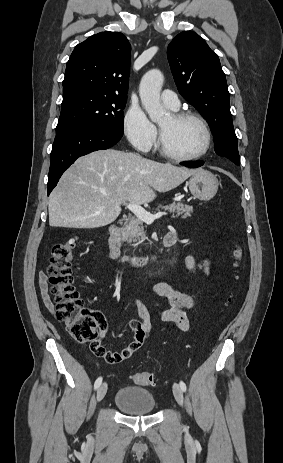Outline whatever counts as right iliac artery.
I'll return each mask as SVG.
<instances>
[{"label":"right iliac artery","mask_w":283,"mask_h":463,"mask_svg":"<svg viewBox=\"0 0 283 463\" xmlns=\"http://www.w3.org/2000/svg\"><path fill=\"white\" fill-rule=\"evenodd\" d=\"M102 383V377L97 378V380L94 383V389H97Z\"/></svg>","instance_id":"right-iliac-artery-1"}]
</instances>
